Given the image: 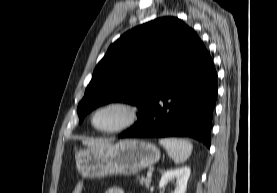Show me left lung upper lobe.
Here are the masks:
<instances>
[{
    "label": "left lung upper lobe",
    "mask_w": 277,
    "mask_h": 193,
    "mask_svg": "<svg viewBox=\"0 0 277 193\" xmlns=\"http://www.w3.org/2000/svg\"><path fill=\"white\" fill-rule=\"evenodd\" d=\"M196 32L175 17L158 18L123 34L96 66L78 105L79 122L99 105L126 102L147 110L190 55Z\"/></svg>",
    "instance_id": "left-lung-upper-lobe-1"
}]
</instances>
